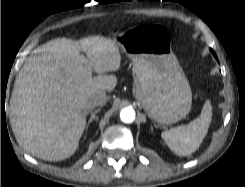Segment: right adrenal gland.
I'll return each mask as SVG.
<instances>
[{
    "label": "right adrenal gland",
    "mask_w": 245,
    "mask_h": 187,
    "mask_svg": "<svg viewBox=\"0 0 245 187\" xmlns=\"http://www.w3.org/2000/svg\"><path fill=\"white\" fill-rule=\"evenodd\" d=\"M100 111V108H97V109H95L94 111H90V113H91V116H90V118H89V120H88V123H87V125H86V128L88 129V127H89V125L92 123V121H98V117L96 116V114L98 113ZM89 113V112H88Z\"/></svg>",
    "instance_id": "2a0ac1e0"
}]
</instances>
